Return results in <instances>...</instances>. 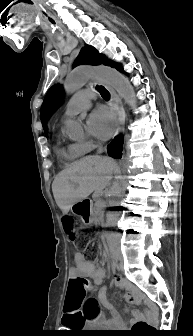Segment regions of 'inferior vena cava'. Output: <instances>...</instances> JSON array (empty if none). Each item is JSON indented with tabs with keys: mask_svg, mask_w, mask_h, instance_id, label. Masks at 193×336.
<instances>
[{
	"mask_svg": "<svg viewBox=\"0 0 193 336\" xmlns=\"http://www.w3.org/2000/svg\"><path fill=\"white\" fill-rule=\"evenodd\" d=\"M97 152H98V153H102V152H103V148H102V147H99Z\"/></svg>",
	"mask_w": 193,
	"mask_h": 336,
	"instance_id": "602c4592",
	"label": "inferior vena cava"
}]
</instances>
